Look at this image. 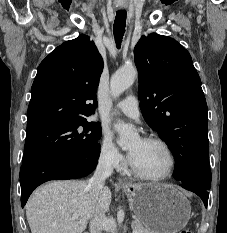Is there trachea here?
<instances>
[{"label":"trachea","mask_w":227,"mask_h":233,"mask_svg":"<svg viewBox=\"0 0 227 233\" xmlns=\"http://www.w3.org/2000/svg\"><path fill=\"white\" fill-rule=\"evenodd\" d=\"M125 27H126V11H118L113 25L115 43L118 49L120 48L122 43V39L125 33Z\"/></svg>","instance_id":"1"}]
</instances>
